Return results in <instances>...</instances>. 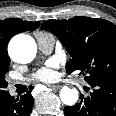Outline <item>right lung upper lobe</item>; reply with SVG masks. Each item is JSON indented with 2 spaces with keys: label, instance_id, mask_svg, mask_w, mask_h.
I'll list each match as a JSON object with an SVG mask.
<instances>
[{
  "label": "right lung upper lobe",
  "instance_id": "right-lung-upper-lobe-1",
  "mask_svg": "<svg viewBox=\"0 0 116 116\" xmlns=\"http://www.w3.org/2000/svg\"><path fill=\"white\" fill-rule=\"evenodd\" d=\"M39 27V22L23 21L17 18L0 20V66L10 62L7 45L10 39L21 32L35 30Z\"/></svg>",
  "mask_w": 116,
  "mask_h": 116
}]
</instances>
